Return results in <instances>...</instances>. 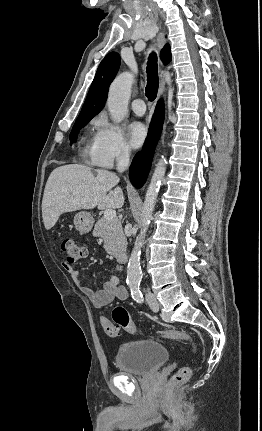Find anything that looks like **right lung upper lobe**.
<instances>
[{
  "label": "right lung upper lobe",
  "instance_id": "1",
  "mask_svg": "<svg viewBox=\"0 0 262 431\" xmlns=\"http://www.w3.org/2000/svg\"><path fill=\"white\" fill-rule=\"evenodd\" d=\"M160 57L164 64L171 61L172 56L169 45H165L161 50ZM119 66L120 56L116 52L107 54L101 61L78 118H93L102 110L107 98L109 85L114 79Z\"/></svg>",
  "mask_w": 262,
  "mask_h": 431
}]
</instances>
